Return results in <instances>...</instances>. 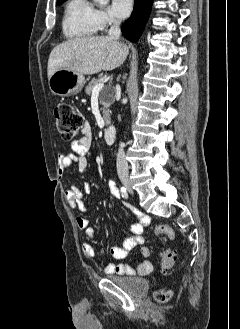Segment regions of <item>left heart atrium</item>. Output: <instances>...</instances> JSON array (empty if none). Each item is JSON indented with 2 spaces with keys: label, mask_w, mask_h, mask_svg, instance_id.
<instances>
[{
  "label": "left heart atrium",
  "mask_w": 240,
  "mask_h": 329,
  "mask_svg": "<svg viewBox=\"0 0 240 329\" xmlns=\"http://www.w3.org/2000/svg\"><path fill=\"white\" fill-rule=\"evenodd\" d=\"M133 6V0H112V13L118 18L127 17Z\"/></svg>",
  "instance_id": "1"
}]
</instances>
